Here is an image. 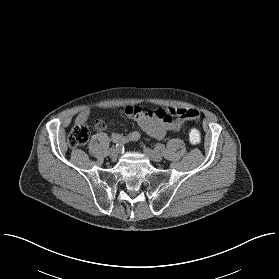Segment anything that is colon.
<instances>
[{"instance_id": "colon-1", "label": "colon", "mask_w": 279, "mask_h": 279, "mask_svg": "<svg viewBox=\"0 0 279 279\" xmlns=\"http://www.w3.org/2000/svg\"><path fill=\"white\" fill-rule=\"evenodd\" d=\"M89 135V129L86 125H75L68 136V143L71 147L82 146L87 143ZM189 140L193 145L200 143L201 132L196 126L190 129Z\"/></svg>"}]
</instances>
